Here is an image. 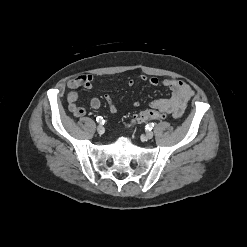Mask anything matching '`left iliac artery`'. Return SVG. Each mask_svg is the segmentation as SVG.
<instances>
[{
    "instance_id": "1",
    "label": "left iliac artery",
    "mask_w": 247,
    "mask_h": 247,
    "mask_svg": "<svg viewBox=\"0 0 247 247\" xmlns=\"http://www.w3.org/2000/svg\"><path fill=\"white\" fill-rule=\"evenodd\" d=\"M153 127H154V123H149V124L147 125V128H148L149 130H152Z\"/></svg>"
}]
</instances>
